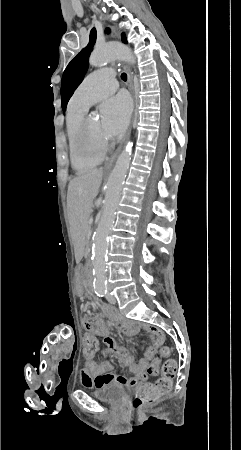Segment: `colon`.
Segmentation results:
<instances>
[{"mask_svg":"<svg viewBox=\"0 0 241 450\" xmlns=\"http://www.w3.org/2000/svg\"><path fill=\"white\" fill-rule=\"evenodd\" d=\"M79 350L84 353V356L91 358L94 353L97 352V347L93 345V339L91 337L82 336L79 338ZM169 355V349L167 347H161L159 350V357L166 358ZM176 366L172 360H166L164 362V369L162 370L163 376L159 377L153 383L144 384L138 390L134 400L133 407L137 409H145L152 406L158 400L163 397L170 387L169 377L175 371ZM159 370L158 361L155 360L147 367L146 372L149 375H155Z\"/></svg>","mask_w":241,"mask_h":450,"instance_id":"obj_1","label":"colon"}]
</instances>
